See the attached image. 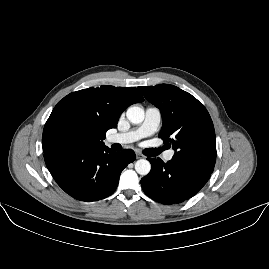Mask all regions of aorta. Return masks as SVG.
<instances>
[{"label": "aorta", "mask_w": 269, "mask_h": 269, "mask_svg": "<svg viewBox=\"0 0 269 269\" xmlns=\"http://www.w3.org/2000/svg\"><path fill=\"white\" fill-rule=\"evenodd\" d=\"M127 119L133 124L142 123L145 117V110L140 105L130 106L126 111ZM151 170V164L146 159H139L135 163V171L139 175H147Z\"/></svg>", "instance_id": "762f6f07"}]
</instances>
